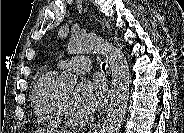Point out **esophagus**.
<instances>
[{
  "label": "esophagus",
  "instance_id": "34e87169",
  "mask_svg": "<svg viewBox=\"0 0 184 133\" xmlns=\"http://www.w3.org/2000/svg\"><path fill=\"white\" fill-rule=\"evenodd\" d=\"M112 95V92L110 91V96ZM100 128V123H98L97 125H95L92 129V132L96 133Z\"/></svg>",
  "mask_w": 184,
  "mask_h": 133
}]
</instances>
